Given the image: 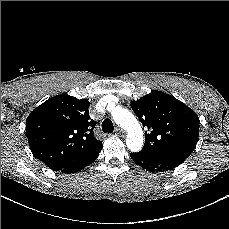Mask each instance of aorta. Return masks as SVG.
<instances>
[{
  "label": "aorta",
  "instance_id": "aorta-1",
  "mask_svg": "<svg viewBox=\"0 0 229 229\" xmlns=\"http://www.w3.org/2000/svg\"><path fill=\"white\" fill-rule=\"evenodd\" d=\"M112 117L117 125L127 130L126 145L132 152H138L143 147V132L134 115L128 110L116 106L112 110Z\"/></svg>",
  "mask_w": 229,
  "mask_h": 229
}]
</instances>
